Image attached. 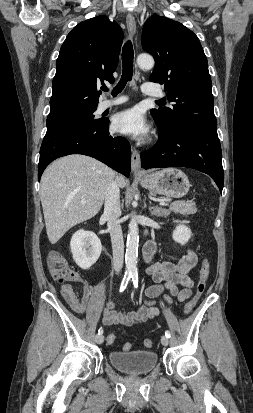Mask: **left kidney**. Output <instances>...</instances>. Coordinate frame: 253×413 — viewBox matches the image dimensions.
Listing matches in <instances>:
<instances>
[{"instance_id": "5707ae66", "label": "left kidney", "mask_w": 253, "mask_h": 413, "mask_svg": "<svg viewBox=\"0 0 253 413\" xmlns=\"http://www.w3.org/2000/svg\"><path fill=\"white\" fill-rule=\"evenodd\" d=\"M191 230L184 224H179L173 231L172 238L175 242L181 245L186 244L191 238Z\"/></svg>"}]
</instances>
